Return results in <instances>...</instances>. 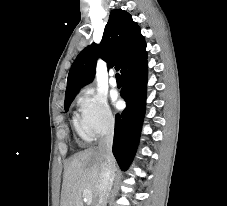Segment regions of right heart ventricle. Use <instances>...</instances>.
Here are the masks:
<instances>
[{"label": "right heart ventricle", "mask_w": 227, "mask_h": 206, "mask_svg": "<svg viewBox=\"0 0 227 206\" xmlns=\"http://www.w3.org/2000/svg\"><path fill=\"white\" fill-rule=\"evenodd\" d=\"M74 126H75V129L78 133V135L84 139V140H88L90 137L89 135L86 133V131L84 130L81 122L78 120V119H74Z\"/></svg>", "instance_id": "e07e8e85"}]
</instances>
